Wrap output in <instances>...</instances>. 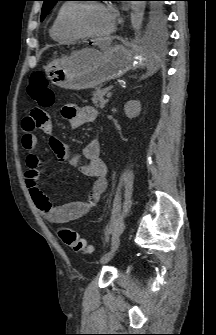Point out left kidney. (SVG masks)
<instances>
[{"mask_svg": "<svg viewBox=\"0 0 216 335\" xmlns=\"http://www.w3.org/2000/svg\"><path fill=\"white\" fill-rule=\"evenodd\" d=\"M124 111H125L126 116L130 119L137 117L141 111L140 101L138 100L128 101L124 105Z\"/></svg>", "mask_w": 216, "mask_h": 335, "instance_id": "left-kidney-1", "label": "left kidney"}]
</instances>
